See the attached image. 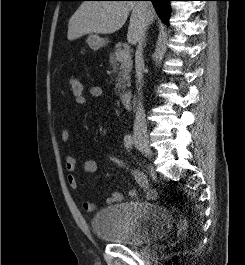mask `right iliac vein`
I'll return each instance as SVG.
<instances>
[{
    "instance_id": "right-iliac-vein-1",
    "label": "right iliac vein",
    "mask_w": 245,
    "mask_h": 265,
    "mask_svg": "<svg viewBox=\"0 0 245 265\" xmlns=\"http://www.w3.org/2000/svg\"><path fill=\"white\" fill-rule=\"evenodd\" d=\"M135 145L137 149L142 152L146 157L151 158L153 153L148 144V141L143 137H138L135 139Z\"/></svg>"
}]
</instances>
